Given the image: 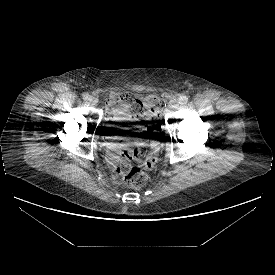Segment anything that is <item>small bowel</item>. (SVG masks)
<instances>
[{"instance_id": "obj_1", "label": "small bowel", "mask_w": 275, "mask_h": 275, "mask_svg": "<svg viewBox=\"0 0 275 275\" xmlns=\"http://www.w3.org/2000/svg\"><path fill=\"white\" fill-rule=\"evenodd\" d=\"M136 99L137 97L121 93H111L107 100L108 113L111 116L122 118H136L139 114L133 106ZM128 146V143L119 141H111L108 144L110 149L108 162L115 178H119L120 175L129 168L128 159L132 157L131 150H126L123 158H120L118 155L121 148H127Z\"/></svg>"}]
</instances>
